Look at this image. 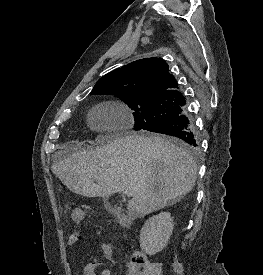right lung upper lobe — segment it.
<instances>
[{
    "label": "right lung upper lobe",
    "instance_id": "1",
    "mask_svg": "<svg viewBox=\"0 0 263 275\" xmlns=\"http://www.w3.org/2000/svg\"><path fill=\"white\" fill-rule=\"evenodd\" d=\"M168 65L160 58H144L115 69L98 80L92 91L123 90L134 95H182ZM91 91V92H92Z\"/></svg>",
    "mask_w": 263,
    "mask_h": 275
}]
</instances>
